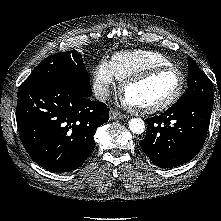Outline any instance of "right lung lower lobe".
<instances>
[{"label":"right lung lower lobe","mask_w":221,"mask_h":221,"mask_svg":"<svg viewBox=\"0 0 221 221\" xmlns=\"http://www.w3.org/2000/svg\"><path fill=\"white\" fill-rule=\"evenodd\" d=\"M91 95L65 81L20 85L16 120L33 161L52 172H68L82 165L95 147L96 129L109 115L107 106L91 101Z\"/></svg>","instance_id":"obj_1"}]
</instances>
